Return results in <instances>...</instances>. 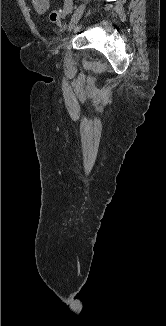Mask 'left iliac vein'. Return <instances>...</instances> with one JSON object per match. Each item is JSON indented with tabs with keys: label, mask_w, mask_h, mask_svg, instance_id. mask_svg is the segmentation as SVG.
<instances>
[{
	"label": "left iliac vein",
	"mask_w": 166,
	"mask_h": 326,
	"mask_svg": "<svg viewBox=\"0 0 166 326\" xmlns=\"http://www.w3.org/2000/svg\"><path fill=\"white\" fill-rule=\"evenodd\" d=\"M85 10V4H81L74 12V14L72 15L70 24H69V30L71 31L75 25L78 23V21L80 20V18L82 17V14Z\"/></svg>",
	"instance_id": "obj_1"
}]
</instances>
